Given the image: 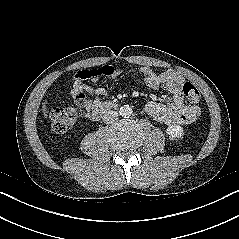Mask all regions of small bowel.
Instances as JSON below:
<instances>
[{"instance_id":"obj_1","label":"small bowel","mask_w":239,"mask_h":239,"mask_svg":"<svg viewBox=\"0 0 239 239\" xmlns=\"http://www.w3.org/2000/svg\"><path fill=\"white\" fill-rule=\"evenodd\" d=\"M95 72H98L97 74ZM122 70L113 66H103L96 69L79 70L72 79L71 94L75 104L87 111L93 110L105 102L108 92L104 88L92 87L85 84L86 81L97 82L102 76L112 79L118 78ZM141 74L144 84L158 90L165 85L170 92L172 101L169 104L149 102L145 106L148 115L165 125H191L200 117V109L197 106L185 104L181 85L183 78L173 72L156 73L151 67L143 66Z\"/></svg>"}]
</instances>
